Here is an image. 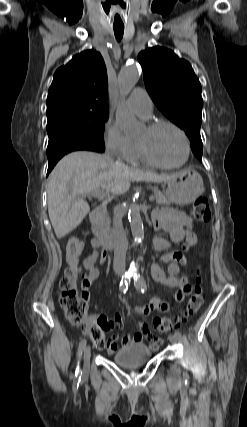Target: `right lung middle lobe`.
Returning <instances> with one entry per match:
<instances>
[{"mask_svg":"<svg viewBox=\"0 0 247 427\" xmlns=\"http://www.w3.org/2000/svg\"><path fill=\"white\" fill-rule=\"evenodd\" d=\"M108 108H62L47 114L48 136L65 134L87 140L105 149L104 126Z\"/></svg>","mask_w":247,"mask_h":427,"instance_id":"obj_1","label":"right lung middle lobe"}]
</instances>
